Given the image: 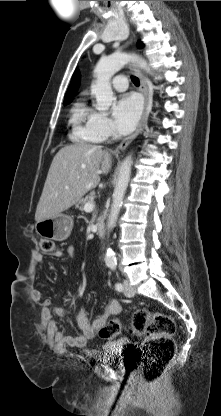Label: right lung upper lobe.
Instances as JSON below:
<instances>
[{
  "mask_svg": "<svg viewBox=\"0 0 221 416\" xmlns=\"http://www.w3.org/2000/svg\"><path fill=\"white\" fill-rule=\"evenodd\" d=\"M79 84H80V74H79L78 71H76L74 73V76L72 78L70 86L67 90L64 101H71L72 100V97L75 95V93L78 90Z\"/></svg>",
  "mask_w": 221,
  "mask_h": 416,
  "instance_id": "cb5924a9",
  "label": "right lung upper lobe"
}]
</instances>
